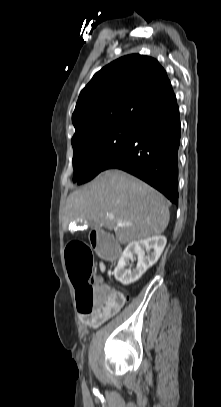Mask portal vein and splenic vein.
Returning <instances> with one entry per match:
<instances>
[{
    "mask_svg": "<svg viewBox=\"0 0 221 407\" xmlns=\"http://www.w3.org/2000/svg\"><path fill=\"white\" fill-rule=\"evenodd\" d=\"M108 217H109L110 219H113V218H114L113 215H108ZM119 224L122 225V226H130V225H131V223H126V222H120Z\"/></svg>",
    "mask_w": 221,
    "mask_h": 407,
    "instance_id": "18ae733b",
    "label": "portal vein and splenic vein"
}]
</instances>
